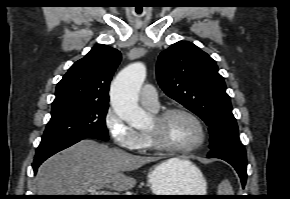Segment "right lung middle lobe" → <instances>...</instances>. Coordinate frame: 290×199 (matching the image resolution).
I'll return each instance as SVG.
<instances>
[{"label":"right lung middle lobe","mask_w":290,"mask_h":199,"mask_svg":"<svg viewBox=\"0 0 290 199\" xmlns=\"http://www.w3.org/2000/svg\"><path fill=\"white\" fill-rule=\"evenodd\" d=\"M108 104L74 103L52 108L39 147L72 142L84 138L108 140L105 117Z\"/></svg>","instance_id":"right-lung-middle-lobe-1"}]
</instances>
